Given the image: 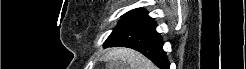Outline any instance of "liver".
I'll return each instance as SVG.
<instances>
[{
  "label": "liver",
  "mask_w": 246,
  "mask_h": 69,
  "mask_svg": "<svg viewBox=\"0 0 246 69\" xmlns=\"http://www.w3.org/2000/svg\"><path fill=\"white\" fill-rule=\"evenodd\" d=\"M106 58L111 61V65L116 66V69H157L141 53L129 48H114L106 54Z\"/></svg>",
  "instance_id": "liver-1"
}]
</instances>
